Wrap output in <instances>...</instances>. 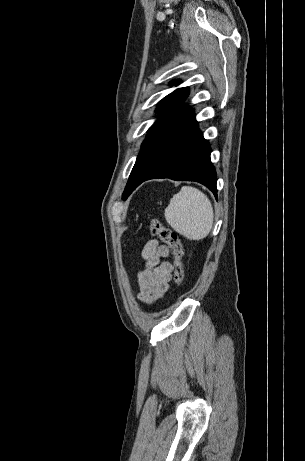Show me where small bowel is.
<instances>
[{"label":"small bowel","mask_w":305,"mask_h":461,"mask_svg":"<svg viewBox=\"0 0 305 461\" xmlns=\"http://www.w3.org/2000/svg\"><path fill=\"white\" fill-rule=\"evenodd\" d=\"M141 255L145 268L137 274V297L143 304L153 305L168 291L173 265L170 261L164 260L169 255L168 247L159 244L155 239L144 245Z\"/></svg>","instance_id":"c3829d8e"}]
</instances>
